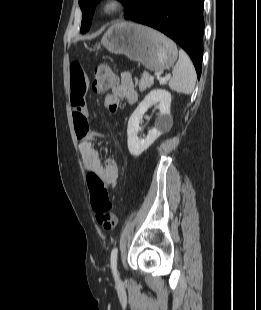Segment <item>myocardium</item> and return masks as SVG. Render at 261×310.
Listing matches in <instances>:
<instances>
[{"instance_id":"myocardium-1","label":"myocardium","mask_w":261,"mask_h":310,"mask_svg":"<svg viewBox=\"0 0 261 310\" xmlns=\"http://www.w3.org/2000/svg\"><path fill=\"white\" fill-rule=\"evenodd\" d=\"M124 0H102L100 11L106 16H113L123 9Z\"/></svg>"}]
</instances>
